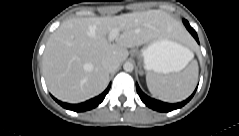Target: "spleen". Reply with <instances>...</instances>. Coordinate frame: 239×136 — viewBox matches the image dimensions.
Here are the masks:
<instances>
[{"mask_svg":"<svg viewBox=\"0 0 239 136\" xmlns=\"http://www.w3.org/2000/svg\"><path fill=\"white\" fill-rule=\"evenodd\" d=\"M189 60L186 65L192 60L193 53L189 51ZM185 65V66H186ZM198 79V64L193 61L183 71L171 74L160 75L156 73H147L146 83L152 95L157 96L165 102H179L187 98L197 83Z\"/></svg>","mask_w":239,"mask_h":136,"instance_id":"obj_1","label":"spleen"}]
</instances>
